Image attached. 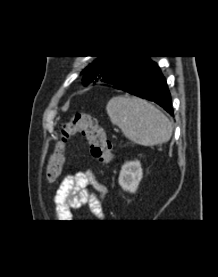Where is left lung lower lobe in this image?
I'll return each instance as SVG.
<instances>
[{
  "label": "left lung lower lobe",
  "mask_w": 218,
  "mask_h": 277,
  "mask_svg": "<svg viewBox=\"0 0 218 277\" xmlns=\"http://www.w3.org/2000/svg\"><path fill=\"white\" fill-rule=\"evenodd\" d=\"M149 56H136L103 82L114 88L154 101L173 115L170 93L158 65Z\"/></svg>",
  "instance_id": "left-lung-lower-lobe-1"
}]
</instances>
